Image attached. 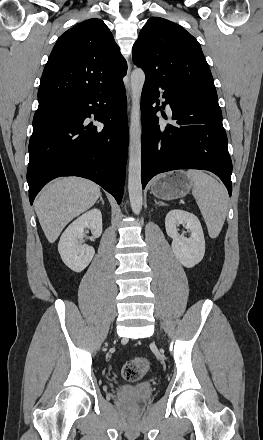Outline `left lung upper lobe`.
<instances>
[{
  "label": "left lung upper lobe",
  "instance_id": "obj_1",
  "mask_svg": "<svg viewBox=\"0 0 263 440\" xmlns=\"http://www.w3.org/2000/svg\"><path fill=\"white\" fill-rule=\"evenodd\" d=\"M133 62L148 80L172 84L192 96L218 99L200 44L174 22L150 18L133 46Z\"/></svg>",
  "mask_w": 263,
  "mask_h": 440
}]
</instances>
